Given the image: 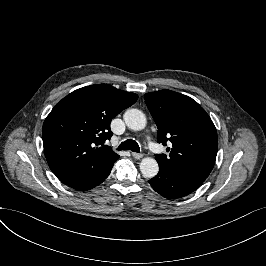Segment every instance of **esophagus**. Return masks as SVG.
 Here are the masks:
<instances>
[{"label": "esophagus", "mask_w": 266, "mask_h": 266, "mask_svg": "<svg viewBox=\"0 0 266 266\" xmlns=\"http://www.w3.org/2000/svg\"><path fill=\"white\" fill-rule=\"evenodd\" d=\"M132 156L135 158V159H141L143 157V154L141 153H136V152H132Z\"/></svg>", "instance_id": "obj_1"}]
</instances>
